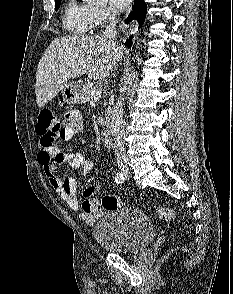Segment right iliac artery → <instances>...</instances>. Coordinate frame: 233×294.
<instances>
[{"label":"right iliac artery","instance_id":"right-iliac-artery-1","mask_svg":"<svg viewBox=\"0 0 233 294\" xmlns=\"http://www.w3.org/2000/svg\"><path fill=\"white\" fill-rule=\"evenodd\" d=\"M124 180H125V177L122 173L118 172L115 174V182L117 184H122L124 182Z\"/></svg>","mask_w":233,"mask_h":294}]
</instances>
